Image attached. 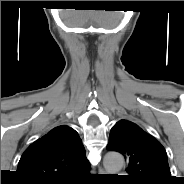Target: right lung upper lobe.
I'll list each match as a JSON object with an SVG mask.
<instances>
[{"instance_id":"obj_1","label":"right lung upper lobe","mask_w":184,"mask_h":184,"mask_svg":"<svg viewBox=\"0 0 184 184\" xmlns=\"http://www.w3.org/2000/svg\"><path fill=\"white\" fill-rule=\"evenodd\" d=\"M86 169L90 163L78 133L62 125L26 149L17 172L27 182L55 184L73 181Z\"/></svg>"}]
</instances>
